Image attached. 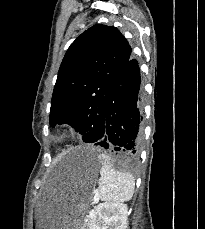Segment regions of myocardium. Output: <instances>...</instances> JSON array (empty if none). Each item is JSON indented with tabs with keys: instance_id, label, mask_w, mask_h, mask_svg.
I'll return each instance as SVG.
<instances>
[{
	"instance_id": "1",
	"label": "myocardium",
	"mask_w": 205,
	"mask_h": 229,
	"mask_svg": "<svg viewBox=\"0 0 205 229\" xmlns=\"http://www.w3.org/2000/svg\"><path fill=\"white\" fill-rule=\"evenodd\" d=\"M65 134H66V132H62V133H61V136H64Z\"/></svg>"
}]
</instances>
